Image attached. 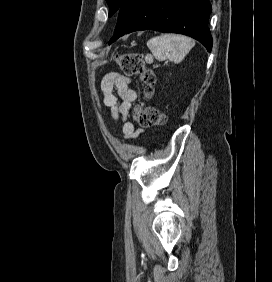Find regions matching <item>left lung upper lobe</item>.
<instances>
[{"mask_svg": "<svg viewBox=\"0 0 272 282\" xmlns=\"http://www.w3.org/2000/svg\"><path fill=\"white\" fill-rule=\"evenodd\" d=\"M125 0H107L109 5V16H112L115 12H118Z\"/></svg>", "mask_w": 272, "mask_h": 282, "instance_id": "1", "label": "left lung upper lobe"}]
</instances>
